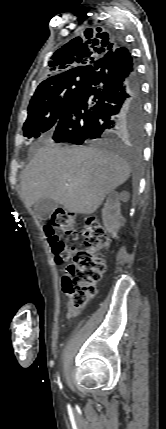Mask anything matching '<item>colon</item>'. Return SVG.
<instances>
[{
  "label": "colon",
  "instance_id": "obj_1",
  "mask_svg": "<svg viewBox=\"0 0 166 429\" xmlns=\"http://www.w3.org/2000/svg\"><path fill=\"white\" fill-rule=\"evenodd\" d=\"M77 216L57 209L51 216V224L45 228L48 242L57 263L72 260L62 278V289L74 308L83 307L96 294V284L106 270L99 252L108 248L110 238L95 217H87L83 228L85 249L76 250L65 243L55 230L76 237Z\"/></svg>",
  "mask_w": 166,
  "mask_h": 429
}]
</instances>
